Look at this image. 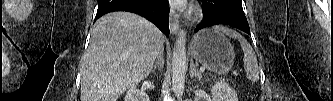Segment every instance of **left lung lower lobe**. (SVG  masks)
Returning <instances> with one entry per match:
<instances>
[{
    "label": "left lung lower lobe",
    "mask_w": 333,
    "mask_h": 101,
    "mask_svg": "<svg viewBox=\"0 0 333 101\" xmlns=\"http://www.w3.org/2000/svg\"><path fill=\"white\" fill-rule=\"evenodd\" d=\"M204 13V20L195 32L202 28L217 24L228 25L250 34L249 25L245 17L241 0H200Z\"/></svg>",
    "instance_id": "0a47b994"
}]
</instances>
